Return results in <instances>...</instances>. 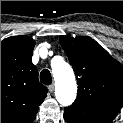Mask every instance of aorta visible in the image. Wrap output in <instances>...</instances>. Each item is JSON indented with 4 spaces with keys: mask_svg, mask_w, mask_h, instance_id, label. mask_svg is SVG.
<instances>
[{
    "mask_svg": "<svg viewBox=\"0 0 123 123\" xmlns=\"http://www.w3.org/2000/svg\"><path fill=\"white\" fill-rule=\"evenodd\" d=\"M55 79V96L62 106L71 105L77 94V84L72 67L63 60L52 62Z\"/></svg>",
    "mask_w": 123,
    "mask_h": 123,
    "instance_id": "aorta-1",
    "label": "aorta"
}]
</instances>
